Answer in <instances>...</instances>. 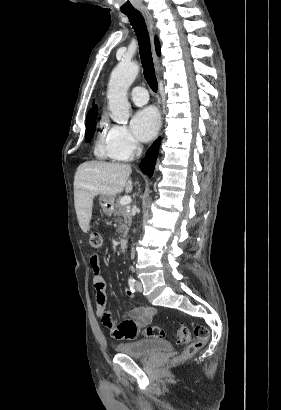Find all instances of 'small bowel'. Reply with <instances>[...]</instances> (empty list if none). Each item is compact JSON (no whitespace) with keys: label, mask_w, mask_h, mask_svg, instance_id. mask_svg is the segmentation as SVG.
<instances>
[{"label":"small bowel","mask_w":281,"mask_h":410,"mask_svg":"<svg viewBox=\"0 0 281 410\" xmlns=\"http://www.w3.org/2000/svg\"><path fill=\"white\" fill-rule=\"evenodd\" d=\"M95 300L97 306V315L102 319L107 332L118 340H135L140 328L148 325L153 319L156 311L151 306H140L132 308V318L116 321L106 313L107 292L106 282L101 273L100 258L97 254H92L89 259ZM128 298L134 297V292L126 288L124 290Z\"/></svg>","instance_id":"1"}]
</instances>
